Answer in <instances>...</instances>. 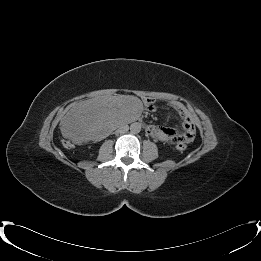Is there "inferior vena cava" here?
<instances>
[{
	"mask_svg": "<svg viewBox=\"0 0 261 261\" xmlns=\"http://www.w3.org/2000/svg\"><path fill=\"white\" fill-rule=\"evenodd\" d=\"M129 130V126L127 125V124H122L120 127H119V129H118V131L120 132V133H124V132H126V131H128Z\"/></svg>",
	"mask_w": 261,
	"mask_h": 261,
	"instance_id": "inferior-vena-cava-1",
	"label": "inferior vena cava"
}]
</instances>
